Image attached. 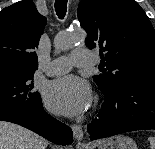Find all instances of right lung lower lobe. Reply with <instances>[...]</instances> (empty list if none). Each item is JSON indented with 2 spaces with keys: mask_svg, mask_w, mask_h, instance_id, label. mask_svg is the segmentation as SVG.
Returning <instances> with one entry per match:
<instances>
[{
  "mask_svg": "<svg viewBox=\"0 0 155 149\" xmlns=\"http://www.w3.org/2000/svg\"><path fill=\"white\" fill-rule=\"evenodd\" d=\"M0 120L19 124L58 145H68L73 142L72 130L46 113L42 101L26 114L0 111Z\"/></svg>",
  "mask_w": 155,
  "mask_h": 149,
  "instance_id": "obj_1",
  "label": "right lung lower lobe"
}]
</instances>
